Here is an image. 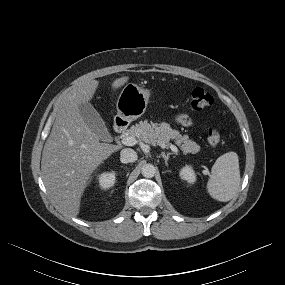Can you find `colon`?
Returning <instances> with one entry per match:
<instances>
[{
  "label": "colon",
  "mask_w": 285,
  "mask_h": 285,
  "mask_svg": "<svg viewBox=\"0 0 285 285\" xmlns=\"http://www.w3.org/2000/svg\"><path fill=\"white\" fill-rule=\"evenodd\" d=\"M214 103L213 96L202 88H196L191 94V106L195 110H203ZM220 128L211 126L207 130V141L211 146H217L221 141Z\"/></svg>",
  "instance_id": "obj_1"
}]
</instances>
